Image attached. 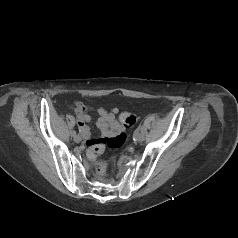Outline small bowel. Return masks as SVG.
<instances>
[{"label": "small bowel", "mask_w": 238, "mask_h": 238, "mask_svg": "<svg viewBox=\"0 0 238 238\" xmlns=\"http://www.w3.org/2000/svg\"><path fill=\"white\" fill-rule=\"evenodd\" d=\"M73 107L75 115L77 117L80 133L84 138L86 144L91 148L103 140L121 135V131L125 130V128L128 127L123 126L118 121L116 115L119 110L117 107L112 108L110 112L102 107L98 108L97 112L99 118L97 120V127L101 131L103 139H94L90 135V128L87 124L91 121V116L88 113L90 107L81 102H75Z\"/></svg>", "instance_id": "small-bowel-1"}]
</instances>
